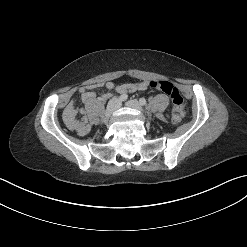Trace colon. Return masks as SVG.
Masks as SVG:
<instances>
[{"label": "colon", "mask_w": 247, "mask_h": 247, "mask_svg": "<svg viewBox=\"0 0 247 247\" xmlns=\"http://www.w3.org/2000/svg\"><path fill=\"white\" fill-rule=\"evenodd\" d=\"M149 86L153 89L159 90L167 94L174 105V113L172 116V123L174 125L179 124L181 120V114L183 109L184 100L178 89L169 81H151Z\"/></svg>", "instance_id": "obj_1"}]
</instances>
